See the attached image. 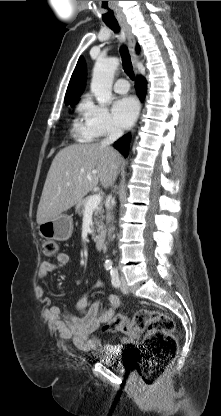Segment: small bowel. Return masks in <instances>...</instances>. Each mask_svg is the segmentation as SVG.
Segmentation results:
<instances>
[{
	"instance_id": "obj_1",
	"label": "small bowel",
	"mask_w": 221,
	"mask_h": 416,
	"mask_svg": "<svg viewBox=\"0 0 221 416\" xmlns=\"http://www.w3.org/2000/svg\"><path fill=\"white\" fill-rule=\"evenodd\" d=\"M56 259V263L46 260L40 261L39 275L41 277L63 268L70 261L69 255L65 252H59ZM103 286L102 281H96L78 299L76 306L78 315L63 311L58 306H51L46 311L45 316L48 323L58 331L61 340L71 342L74 347L82 351H96L98 349H103L106 352L112 351L114 345H101L96 331L115 315L121 305V301L117 295L110 294L107 298V307H102L100 301L91 303V293Z\"/></svg>"
}]
</instances>
